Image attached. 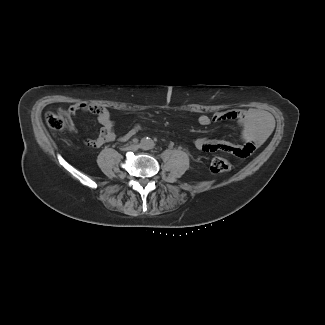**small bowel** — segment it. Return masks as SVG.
I'll list each match as a JSON object with an SVG mask.
<instances>
[{
    "mask_svg": "<svg viewBox=\"0 0 325 325\" xmlns=\"http://www.w3.org/2000/svg\"><path fill=\"white\" fill-rule=\"evenodd\" d=\"M85 112L96 115L101 125V131L96 138L84 141V144L88 147L97 148L116 140L127 142L141 130L140 125H135L123 135L118 136L108 109L103 106L86 103H75L64 110V115L70 119L71 129L74 128L73 117ZM223 120L237 121L241 128L240 142L202 137L195 140L196 148L206 152L224 151L239 157H247L264 143L273 128L271 115L261 109H237L218 112L212 116L201 115L198 118V123L201 126H209L213 122Z\"/></svg>",
    "mask_w": 325,
    "mask_h": 325,
    "instance_id": "small-bowel-1",
    "label": "small bowel"
}]
</instances>
